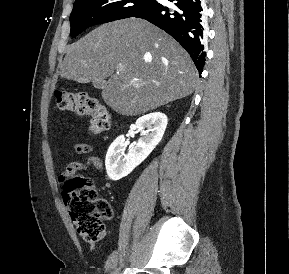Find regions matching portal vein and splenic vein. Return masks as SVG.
I'll use <instances>...</instances> for the list:
<instances>
[{
	"label": "portal vein and splenic vein",
	"mask_w": 289,
	"mask_h": 274,
	"mask_svg": "<svg viewBox=\"0 0 289 274\" xmlns=\"http://www.w3.org/2000/svg\"><path fill=\"white\" fill-rule=\"evenodd\" d=\"M121 69H123V67H119V68H118V70H121Z\"/></svg>",
	"instance_id": "portal-vein-and-splenic-vein-1"
}]
</instances>
